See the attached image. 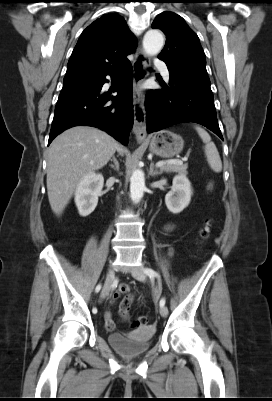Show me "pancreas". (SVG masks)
Wrapping results in <instances>:
<instances>
[{
	"label": "pancreas",
	"instance_id": "pancreas-1",
	"mask_svg": "<svg viewBox=\"0 0 272 401\" xmlns=\"http://www.w3.org/2000/svg\"><path fill=\"white\" fill-rule=\"evenodd\" d=\"M187 168L188 165L186 163L185 164L180 163V164H166L162 166L160 169L162 172H167V173L176 172L179 174H186Z\"/></svg>",
	"mask_w": 272,
	"mask_h": 401
}]
</instances>
